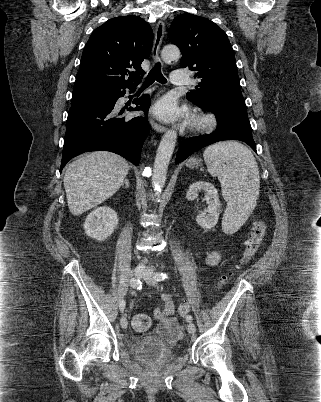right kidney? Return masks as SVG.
<instances>
[{
    "mask_svg": "<svg viewBox=\"0 0 321 402\" xmlns=\"http://www.w3.org/2000/svg\"><path fill=\"white\" fill-rule=\"evenodd\" d=\"M117 213L108 206L93 210L84 223L85 233L98 241L108 238L118 225Z\"/></svg>",
    "mask_w": 321,
    "mask_h": 402,
    "instance_id": "ca27d5eb",
    "label": "right kidney"
}]
</instances>
